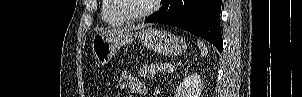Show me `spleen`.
<instances>
[{"label":"spleen","instance_id":"spleen-1","mask_svg":"<svg viewBox=\"0 0 302 97\" xmlns=\"http://www.w3.org/2000/svg\"><path fill=\"white\" fill-rule=\"evenodd\" d=\"M199 49L201 51V56L204 57L208 54V48L205 43L201 40L198 41Z\"/></svg>","mask_w":302,"mask_h":97}]
</instances>
